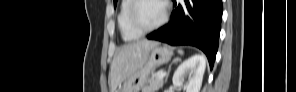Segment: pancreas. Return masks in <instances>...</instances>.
I'll use <instances>...</instances> for the list:
<instances>
[{"instance_id":"pancreas-1","label":"pancreas","mask_w":296,"mask_h":92,"mask_svg":"<svg viewBox=\"0 0 296 92\" xmlns=\"http://www.w3.org/2000/svg\"><path fill=\"white\" fill-rule=\"evenodd\" d=\"M163 83V79H158L157 76L152 77L142 87V92H157L160 88L163 87Z\"/></svg>"}]
</instances>
